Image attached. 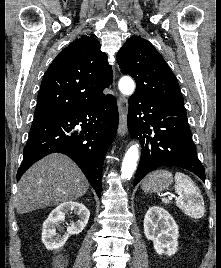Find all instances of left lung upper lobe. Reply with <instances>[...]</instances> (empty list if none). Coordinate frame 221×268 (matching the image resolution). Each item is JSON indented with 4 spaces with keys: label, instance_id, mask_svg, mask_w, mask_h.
Instances as JSON below:
<instances>
[{
    "label": "left lung upper lobe",
    "instance_id": "left-lung-upper-lobe-1",
    "mask_svg": "<svg viewBox=\"0 0 221 268\" xmlns=\"http://www.w3.org/2000/svg\"><path fill=\"white\" fill-rule=\"evenodd\" d=\"M122 73L136 81L134 95L184 105L179 84L170 67L153 45L139 36L129 38L117 54Z\"/></svg>",
    "mask_w": 221,
    "mask_h": 268
}]
</instances>
